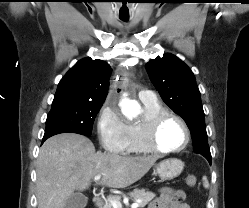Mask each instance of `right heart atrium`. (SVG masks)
Masks as SVG:
<instances>
[{
    "label": "right heart atrium",
    "instance_id": "1",
    "mask_svg": "<svg viewBox=\"0 0 249 208\" xmlns=\"http://www.w3.org/2000/svg\"><path fill=\"white\" fill-rule=\"evenodd\" d=\"M97 133L102 147L112 153H125L126 123L117 108L106 103L97 119Z\"/></svg>",
    "mask_w": 249,
    "mask_h": 208
}]
</instances>
